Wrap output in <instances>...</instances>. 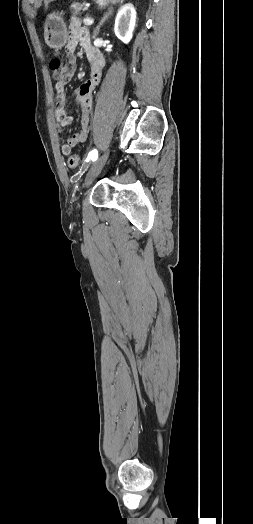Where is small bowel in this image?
<instances>
[{
	"mask_svg": "<svg viewBox=\"0 0 253 524\" xmlns=\"http://www.w3.org/2000/svg\"><path fill=\"white\" fill-rule=\"evenodd\" d=\"M78 46L82 48L86 56L90 68V78L81 86L75 88L70 94L80 106L81 122L79 131L67 140H64L62 136L63 129L70 126L74 121V118L66 112L65 87L70 85L72 77L76 75L78 63L75 50ZM66 49V60L68 62L66 72L62 74L59 82L55 85L57 93L55 117L58 134L63 141L61 152L64 155H69L75 146L85 142L88 138L90 117L94 106L93 92L101 80L105 61L101 53L92 46L89 31L77 20L72 21L70 25Z\"/></svg>",
	"mask_w": 253,
	"mask_h": 524,
	"instance_id": "1",
	"label": "small bowel"
}]
</instances>
